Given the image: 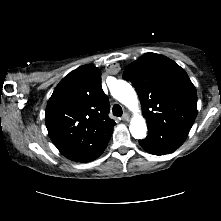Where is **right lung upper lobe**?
I'll use <instances>...</instances> for the list:
<instances>
[{"label":"right lung upper lobe","instance_id":"obj_1","mask_svg":"<svg viewBox=\"0 0 221 221\" xmlns=\"http://www.w3.org/2000/svg\"><path fill=\"white\" fill-rule=\"evenodd\" d=\"M109 111L100 70L81 66L61 80L48 101L49 136L65 157L82 161L112 135L116 123L108 117Z\"/></svg>","mask_w":221,"mask_h":221}]
</instances>
